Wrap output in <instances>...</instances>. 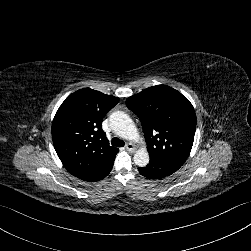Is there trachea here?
Returning a JSON list of instances; mask_svg holds the SVG:
<instances>
[{
    "mask_svg": "<svg viewBox=\"0 0 251 251\" xmlns=\"http://www.w3.org/2000/svg\"><path fill=\"white\" fill-rule=\"evenodd\" d=\"M112 145L117 147H123L125 145V142L117 137H114L112 139Z\"/></svg>",
    "mask_w": 251,
    "mask_h": 251,
    "instance_id": "trachea-1",
    "label": "trachea"
}]
</instances>
